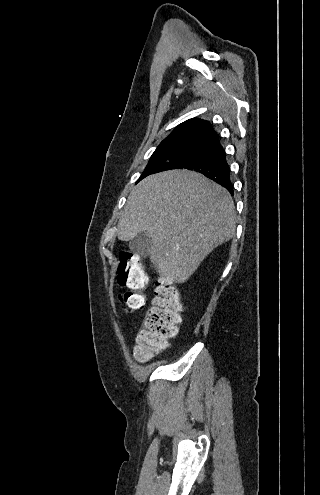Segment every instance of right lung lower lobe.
I'll list each match as a JSON object with an SVG mask.
<instances>
[{
  "instance_id": "1",
  "label": "right lung lower lobe",
  "mask_w": 320,
  "mask_h": 495,
  "mask_svg": "<svg viewBox=\"0 0 320 495\" xmlns=\"http://www.w3.org/2000/svg\"><path fill=\"white\" fill-rule=\"evenodd\" d=\"M177 169H189L202 173L211 180L225 187L233 195L230 182V168L226 154L217 135L211 138L184 164Z\"/></svg>"
}]
</instances>
